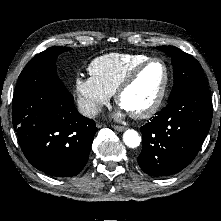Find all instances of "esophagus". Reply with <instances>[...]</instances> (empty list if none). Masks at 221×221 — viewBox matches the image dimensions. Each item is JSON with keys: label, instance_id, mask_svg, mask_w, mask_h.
I'll use <instances>...</instances> for the list:
<instances>
[{"label": "esophagus", "instance_id": "1", "mask_svg": "<svg viewBox=\"0 0 221 221\" xmlns=\"http://www.w3.org/2000/svg\"><path fill=\"white\" fill-rule=\"evenodd\" d=\"M113 128H114L116 131H119V132H122V131L125 130V127H124V126L114 125Z\"/></svg>", "mask_w": 221, "mask_h": 221}]
</instances>
